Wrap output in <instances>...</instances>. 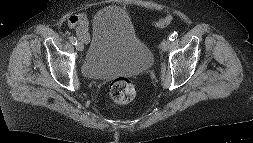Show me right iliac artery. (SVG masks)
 Here are the masks:
<instances>
[{"label": "right iliac artery", "instance_id": "right-iliac-artery-1", "mask_svg": "<svg viewBox=\"0 0 253 143\" xmlns=\"http://www.w3.org/2000/svg\"><path fill=\"white\" fill-rule=\"evenodd\" d=\"M69 40L73 45L77 44V39L74 36L69 37Z\"/></svg>", "mask_w": 253, "mask_h": 143}]
</instances>
